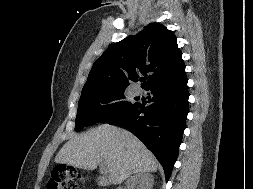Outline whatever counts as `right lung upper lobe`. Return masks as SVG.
<instances>
[{
    "label": "right lung upper lobe",
    "mask_w": 253,
    "mask_h": 189,
    "mask_svg": "<svg viewBox=\"0 0 253 189\" xmlns=\"http://www.w3.org/2000/svg\"><path fill=\"white\" fill-rule=\"evenodd\" d=\"M139 74H149L142 88L185 75L176 36L164 25L150 23L136 35L108 47L95 61L82 92L101 87H127Z\"/></svg>",
    "instance_id": "1"
}]
</instances>
